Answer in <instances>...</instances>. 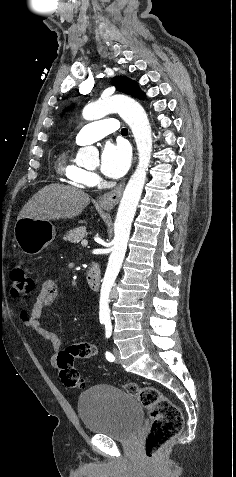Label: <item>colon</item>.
<instances>
[{
  "label": "colon",
  "instance_id": "colon-1",
  "mask_svg": "<svg viewBox=\"0 0 236 477\" xmlns=\"http://www.w3.org/2000/svg\"><path fill=\"white\" fill-rule=\"evenodd\" d=\"M11 294L17 300L32 295L37 280L28 275L23 266H15L10 272ZM95 355V354H94ZM93 355V356H94ZM91 344L77 343L68 346L57 355V366L61 381L70 388H80L82 381L77 369L73 367L75 359H90ZM125 391L135 397L147 409L151 418V427L145 437V455L152 459L183 428V416L180 409L159 389L152 386H139L135 383L124 385Z\"/></svg>",
  "mask_w": 236,
  "mask_h": 477
}]
</instances>
